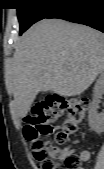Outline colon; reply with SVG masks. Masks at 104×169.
<instances>
[{"instance_id":"5ec220e1","label":"colon","mask_w":104,"mask_h":169,"mask_svg":"<svg viewBox=\"0 0 104 169\" xmlns=\"http://www.w3.org/2000/svg\"><path fill=\"white\" fill-rule=\"evenodd\" d=\"M90 101L81 95L67 97L58 104L35 105L25 120L23 129L25 139L30 143L39 169H58L56 159L60 155L57 145L45 142L41 136L52 133L55 122L65 116L61 131L56 133L58 144L65 142L84 122ZM81 158L75 153H68L63 158L65 169H80Z\"/></svg>"}]
</instances>
